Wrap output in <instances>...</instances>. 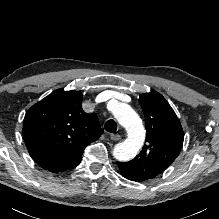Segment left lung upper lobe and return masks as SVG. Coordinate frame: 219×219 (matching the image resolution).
<instances>
[{
	"label": "left lung upper lobe",
	"instance_id": "left-lung-upper-lobe-1",
	"mask_svg": "<svg viewBox=\"0 0 219 219\" xmlns=\"http://www.w3.org/2000/svg\"><path fill=\"white\" fill-rule=\"evenodd\" d=\"M139 103L146 118L145 145L134 159L117 165L142 180H149L164 172L178 157L184 133L179 119L160 93L141 94Z\"/></svg>",
	"mask_w": 219,
	"mask_h": 219
}]
</instances>
